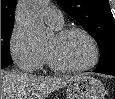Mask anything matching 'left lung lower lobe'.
<instances>
[{
  "label": "left lung lower lobe",
  "instance_id": "obj_1",
  "mask_svg": "<svg viewBox=\"0 0 115 99\" xmlns=\"http://www.w3.org/2000/svg\"><path fill=\"white\" fill-rule=\"evenodd\" d=\"M95 72L103 73V74H108V75H115V70L103 71V72H98L97 70H95Z\"/></svg>",
  "mask_w": 115,
  "mask_h": 99
}]
</instances>
